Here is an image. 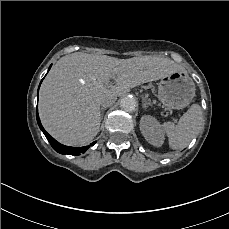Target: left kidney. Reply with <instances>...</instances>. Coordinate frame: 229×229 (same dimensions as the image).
Returning <instances> with one entry per match:
<instances>
[{"mask_svg": "<svg viewBox=\"0 0 229 229\" xmlns=\"http://www.w3.org/2000/svg\"><path fill=\"white\" fill-rule=\"evenodd\" d=\"M140 130L151 145L160 147L163 144V131L154 118L143 116L140 121Z\"/></svg>", "mask_w": 229, "mask_h": 229, "instance_id": "obj_1", "label": "left kidney"}]
</instances>
